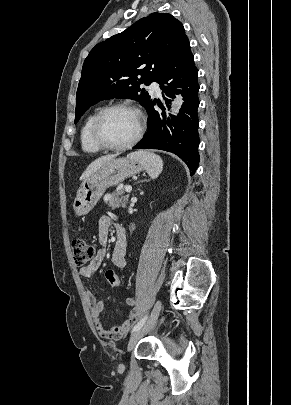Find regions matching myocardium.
<instances>
[{"mask_svg":"<svg viewBox=\"0 0 291 405\" xmlns=\"http://www.w3.org/2000/svg\"><path fill=\"white\" fill-rule=\"evenodd\" d=\"M117 109H125V110L134 112L137 115L138 122H139L138 130H137V133L135 134V136L127 143L119 144V145L106 142L102 138L101 133H100V125H101V121H102L103 117L110 111L117 110ZM144 130H145V118L139 108H137L136 106H134L132 104H128V103H114V104H110V105L102 108L101 110H99L96 113V115L92 121V124H91L90 134H91L92 141L101 149L111 150V151H122V150L130 149L134 145H136L139 142V140L142 138Z\"/></svg>","mask_w":291,"mask_h":405,"instance_id":"obj_1","label":"myocardium"}]
</instances>
